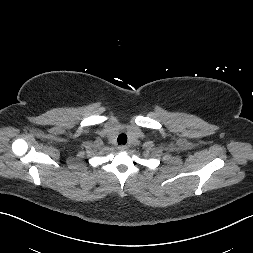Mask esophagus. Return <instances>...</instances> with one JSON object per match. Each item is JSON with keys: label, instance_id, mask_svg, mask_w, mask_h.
<instances>
[{"label": "esophagus", "instance_id": "1", "mask_svg": "<svg viewBox=\"0 0 253 253\" xmlns=\"http://www.w3.org/2000/svg\"><path fill=\"white\" fill-rule=\"evenodd\" d=\"M120 151H126L128 149V147L126 145H121L118 148Z\"/></svg>", "mask_w": 253, "mask_h": 253}]
</instances>
